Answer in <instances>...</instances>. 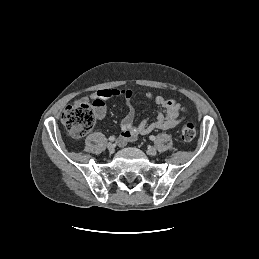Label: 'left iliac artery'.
I'll return each mask as SVG.
<instances>
[{"label":"left iliac artery","mask_w":259,"mask_h":259,"mask_svg":"<svg viewBox=\"0 0 259 259\" xmlns=\"http://www.w3.org/2000/svg\"><path fill=\"white\" fill-rule=\"evenodd\" d=\"M149 138H150L151 141L155 140V136H153V135H151Z\"/></svg>","instance_id":"left-iliac-artery-1"}]
</instances>
